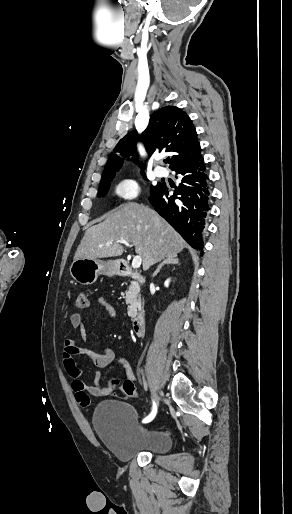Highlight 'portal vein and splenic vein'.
<instances>
[{"label": "portal vein and splenic vein", "mask_w": 292, "mask_h": 514, "mask_svg": "<svg viewBox=\"0 0 292 514\" xmlns=\"http://www.w3.org/2000/svg\"><path fill=\"white\" fill-rule=\"evenodd\" d=\"M118 242H120V244H125V246H129V248H131L130 244H128V242H126V240H118ZM110 244H112V242H110ZM141 262H142L141 256H135V258H133L132 268H140Z\"/></svg>", "instance_id": "1"}]
</instances>
